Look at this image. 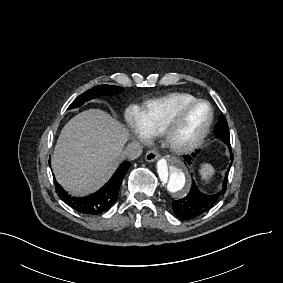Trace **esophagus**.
I'll list each match as a JSON object with an SVG mask.
<instances>
[{"mask_svg": "<svg viewBox=\"0 0 283 283\" xmlns=\"http://www.w3.org/2000/svg\"><path fill=\"white\" fill-rule=\"evenodd\" d=\"M158 158H159V153L155 149L149 150L145 155V159L148 162H153V161L157 160Z\"/></svg>", "mask_w": 283, "mask_h": 283, "instance_id": "1", "label": "esophagus"}]
</instances>
